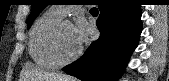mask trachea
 Returning a JSON list of instances; mask_svg holds the SVG:
<instances>
[{
  "mask_svg": "<svg viewBox=\"0 0 169 81\" xmlns=\"http://www.w3.org/2000/svg\"><path fill=\"white\" fill-rule=\"evenodd\" d=\"M91 11H97V8H92Z\"/></svg>",
  "mask_w": 169,
  "mask_h": 81,
  "instance_id": "3493384b",
  "label": "trachea"
}]
</instances>
